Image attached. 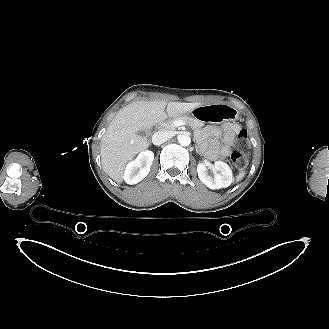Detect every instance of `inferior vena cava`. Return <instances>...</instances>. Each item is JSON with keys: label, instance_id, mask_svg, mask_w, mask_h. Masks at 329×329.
<instances>
[{"label": "inferior vena cava", "instance_id": "obj_1", "mask_svg": "<svg viewBox=\"0 0 329 329\" xmlns=\"http://www.w3.org/2000/svg\"><path fill=\"white\" fill-rule=\"evenodd\" d=\"M171 138V133L168 131H158L153 134L152 142L154 145H161Z\"/></svg>", "mask_w": 329, "mask_h": 329}]
</instances>
